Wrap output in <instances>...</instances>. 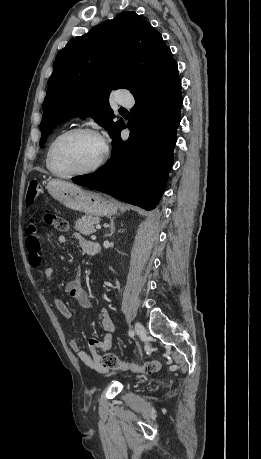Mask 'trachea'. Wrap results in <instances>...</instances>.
I'll return each instance as SVG.
<instances>
[{
  "label": "trachea",
  "instance_id": "3493384b",
  "mask_svg": "<svg viewBox=\"0 0 261 459\" xmlns=\"http://www.w3.org/2000/svg\"><path fill=\"white\" fill-rule=\"evenodd\" d=\"M120 110H121V111H126V109H124V108H120Z\"/></svg>",
  "mask_w": 261,
  "mask_h": 459
}]
</instances>
